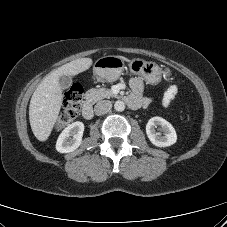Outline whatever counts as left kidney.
<instances>
[{
	"label": "left kidney",
	"instance_id": "5707ae66",
	"mask_svg": "<svg viewBox=\"0 0 227 227\" xmlns=\"http://www.w3.org/2000/svg\"><path fill=\"white\" fill-rule=\"evenodd\" d=\"M157 126L161 127L163 135L156 132ZM146 134L151 143L157 147H168L176 143L177 134L174 127L161 117L149 119L146 125Z\"/></svg>",
	"mask_w": 227,
	"mask_h": 227
}]
</instances>
